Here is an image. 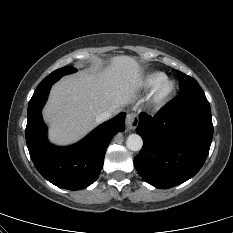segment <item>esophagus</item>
<instances>
[{"instance_id": "1", "label": "esophagus", "mask_w": 233, "mask_h": 233, "mask_svg": "<svg viewBox=\"0 0 233 233\" xmlns=\"http://www.w3.org/2000/svg\"><path fill=\"white\" fill-rule=\"evenodd\" d=\"M139 123L138 116L135 113H129L126 117V128L128 131H133Z\"/></svg>"}]
</instances>
